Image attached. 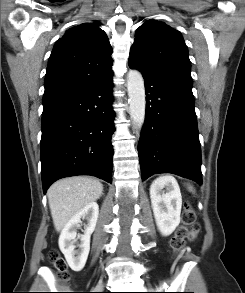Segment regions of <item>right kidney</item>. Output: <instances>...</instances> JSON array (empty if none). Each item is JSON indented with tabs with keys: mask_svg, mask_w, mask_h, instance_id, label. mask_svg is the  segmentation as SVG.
Masks as SVG:
<instances>
[{
	"mask_svg": "<svg viewBox=\"0 0 245 293\" xmlns=\"http://www.w3.org/2000/svg\"><path fill=\"white\" fill-rule=\"evenodd\" d=\"M99 214V206L92 202L77 212L64 226L59 237V248L64 254L70 268L76 272L81 271L87 261L90 251V237L95 230ZM81 219H85L84 234L80 236L79 249L76 250L77 228Z\"/></svg>",
	"mask_w": 245,
	"mask_h": 293,
	"instance_id": "obj_1",
	"label": "right kidney"
}]
</instances>
